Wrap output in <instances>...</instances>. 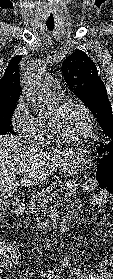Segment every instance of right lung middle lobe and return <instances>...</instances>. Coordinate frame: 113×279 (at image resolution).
<instances>
[{"label": "right lung middle lobe", "instance_id": "1", "mask_svg": "<svg viewBox=\"0 0 113 279\" xmlns=\"http://www.w3.org/2000/svg\"><path fill=\"white\" fill-rule=\"evenodd\" d=\"M14 107L0 110V134H15L12 129V114Z\"/></svg>", "mask_w": 113, "mask_h": 279}]
</instances>
